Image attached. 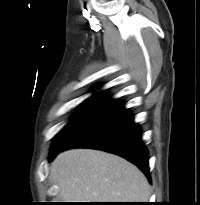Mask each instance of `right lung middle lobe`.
Segmentation results:
<instances>
[{
	"label": "right lung middle lobe",
	"mask_w": 200,
	"mask_h": 205,
	"mask_svg": "<svg viewBox=\"0 0 200 205\" xmlns=\"http://www.w3.org/2000/svg\"><path fill=\"white\" fill-rule=\"evenodd\" d=\"M114 105L113 102L85 101L75 117L55 137L51 152L65 145L83 129L106 113Z\"/></svg>",
	"instance_id": "dd1d6c3e"
}]
</instances>
